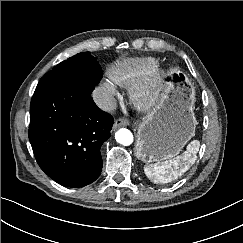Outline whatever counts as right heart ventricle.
I'll return each instance as SVG.
<instances>
[{
    "label": "right heart ventricle",
    "mask_w": 243,
    "mask_h": 243,
    "mask_svg": "<svg viewBox=\"0 0 243 243\" xmlns=\"http://www.w3.org/2000/svg\"><path fill=\"white\" fill-rule=\"evenodd\" d=\"M157 67L153 58L130 59L114 65L109 76L112 81L121 87H132L145 80Z\"/></svg>",
    "instance_id": "e07e8e85"
}]
</instances>
